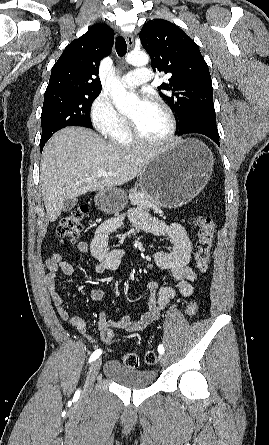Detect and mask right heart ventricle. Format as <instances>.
Here are the masks:
<instances>
[{
	"instance_id": "1",
	"label": "right heart ventricle",
	"mask_w": 269,
	"mask_h": 445,
	"mask_svg": "<svg viewBox=\"0 0 269 445\" xmlns=\"http://www.w3.org/2000/svg\"><path fill=\"white\" fill-rule=\"evenodd\" d=\"M108 136L113 143L120 146H131L135 143L126 120L116 129L108 133Z\"/></svg>"
}]
</instances>
